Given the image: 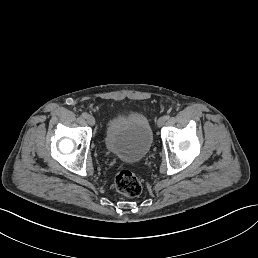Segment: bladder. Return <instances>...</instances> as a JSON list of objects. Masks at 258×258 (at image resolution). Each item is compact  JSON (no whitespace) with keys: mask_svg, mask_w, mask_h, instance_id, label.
<instances>
[{"mask_svg":"<svg viewBox=\"0 0 258 258\" xmlns=\"http://www.w3.org/2000/svg\"><path fill=\"white\" fill-rule=\"evenodd\" d=\"M153 133L149 121L140 113L120 114L110 119L104 134L107 149L122 161L131 163L145 157Z\"/></svg>","mask_w":258,"mask_h":258,"instance_id":"1","label":"bladder"}]
</instances>
